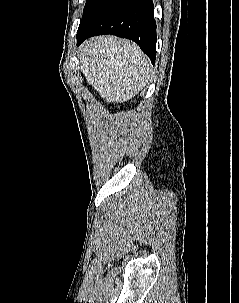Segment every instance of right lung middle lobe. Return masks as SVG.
I'll use <instances>...</instances> for the list:
<instances>
[{
  "mask_svg": "<svg viewBox=\"0 0 239 303\" xmlns=\"http://www.w3.org/2000/svg\"><path fill=\"white\" fill-rule=\"evenodd\" d=\"M107 2V0H87L82 20L80 22L78 31L83 30L93 19L98 10Z\"/></svg>",
  "mask_w": 239,
  "mask_h": 303,
  "instance_id": "obj_1",
  "label": "right lung middle lobe"
}]
</instances>
